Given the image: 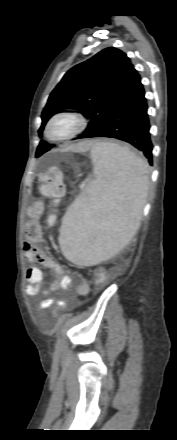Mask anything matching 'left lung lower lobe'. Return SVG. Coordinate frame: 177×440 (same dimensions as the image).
Instances as JSON below:
<instances>
[{
	"instance_id": "obj_1",
	"label": "left lung lower lobe",
	"mask_w": 177,
	"mask_h": 440,
	"mask_svg": "<svg viewBox=\"0 0 177 440\" xmlns=\"http://www.w3.org/2000/svg\"><path fill=\"white\" fill-rule=\"evenodd\" d=\"M147 101L141 82L136 86L129 98L110 116L97 130L84 136L116 138L130 143L153 164L150 139V122L147 113Z\"/></svg>"
}]
</instances>
